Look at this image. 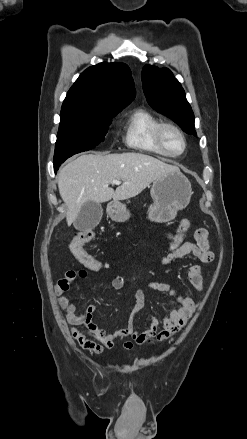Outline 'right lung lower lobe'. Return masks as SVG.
<instances>
[{
  "instance_id": "obj_1",
  "label": "right lung lower lobe",
  "mask_w": 247,
  "mask_h": 439,
  "mask_svg": "<svg viewBox=\"0 0 247 439\" xmlns=\"http://www.w3.org/2000/svg\"><path fill=\"white\" fill-rule=\"evenodd\" d=\"M58 168H59V166H54V170H55V172L58 170Z\"/></svg>"
}]
</instances>
